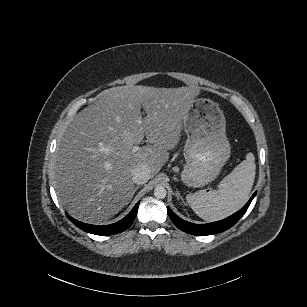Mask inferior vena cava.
I'll list each match as a JSON object with an SVG mask.
<instances>
[{
  "instance_id": "1",
  "label": "inferior vena cava",
  "mask_w": 307,
  "mask_h": 307,
  "mask_svg": "<svg viewBox=\"0 0 307 307\" xmlns=\"http://www.w3.org/2000/svg\"><path fill=\"white\" fill-rule=\"evenodd\" d=\"M151 176L148 165L141 163L133 169L132 181L138 185L144 184Z\"/></svg>"
}]
</instances>
